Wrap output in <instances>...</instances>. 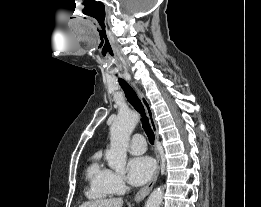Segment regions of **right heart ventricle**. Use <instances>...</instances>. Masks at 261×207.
Masks as SVG:
<instances>
[{"instance_id": "obj_1", "label": "right heart ventricle", "mask_w": 261, "mask_h": 207, "mask_svg": "<svg viewBox=\"0 0 261 207\" xmlns=\"http://www.w3.org/2000/svg\"><path fill=\"white\" fill-rule=\"evenodd\" d=\"M111 170L108 169L101 161L100 157L92 158L86 169V178L89 187L86 195L90 199H106L111 196L112 191L109 185Z\"/></svg>"}]
</instances>
